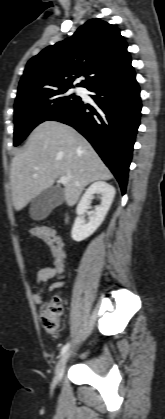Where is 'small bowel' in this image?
Listing matches in <instances>:
<instances>
[{
	"mask_svg": "<svg viewBox=\"0 0 165 419\" xmlns=\"http://www.w3.org/2000/svg\"><path fill=\"white\" fill-rule=\"evenodd\" d=\"M41 228V227H37ZM36 238L45 242V239L38 235ZM58 273V270L55 266H42L38 269L36 274V282L38 285L44 286L38 292L33 295V301L35 304L40 305L43 302V296L45 293L52 292L56 289L62 288L65 286V280H58L50 284L49 286H45L52 278H54Z\"/></svg>",
	"mask_w": 165,
	"mask_h": 419,
	"instance_id": "1",
	"label": "small bowel"
}]
</instances>
